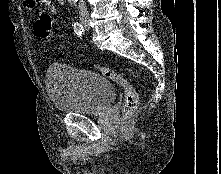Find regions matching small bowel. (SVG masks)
I'll use <instances>...</instances> for the list:
<instances>
[{
    "label": "small bowel",
    "mask_w": 221,
    "mask_h": 174,
    "mask_svg": "<svg viewBox=\"0 0 221 174\" xmlns=\"http://www.w3.org/2000/svg\"><path fill=\"white\" fill-rule=\"evenodd\" d=\"M25 3L30 11H36L42 8L53 14L58 13L57 9L53 5L52 0H25Z\"/></svg>",
    "instance_id": "small-bowel-1"
}]
</instances>
